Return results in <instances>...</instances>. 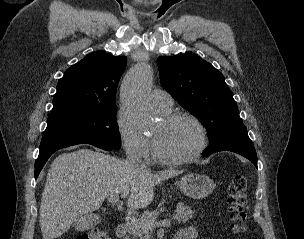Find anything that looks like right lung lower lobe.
Instances as JSON below:
<instances>
[{
	"label": "right lung lower lobe",
	"mask_w": 304,
	"mask_h": 239,
	"mask_svg": "<svg viewBox=\"0 0 304 239\" xmlns=\"http://www.w3.org/2000/svg\"><path fill=\"white\" fill-rule=\"evenodd\" d=\"M87 143L94 145L98 148L111 151L114 148L110 145L95 141V140H87V139H62V140H52V141H44L40 144V152L39 156L35 162V178L38 177L40 171L42 170L44 164L49 159V157L57 150L69 147L76 144Z\"/></svg>",
	"instance_id": "right-lung-lower-lobe-1"
}]
</instances>
